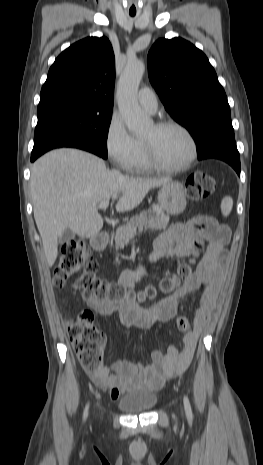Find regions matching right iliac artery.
I'll return each mask as SVG.
<instances>
[{
    "label": "right iliac artery",
    "mask_w": 263,
    "mask_h": 465,
    "mask_svg": "<svg viewBox=\"0 0 263 465\" xmlns=\"http://www.w3.org/2000/svg\"><path fill=\"white\" fill-rule=\"evenodd\" d=\"M88 408H89V405L87 404L86 405V408L84 410V420L87 418V415H88Z\"/></svg>",
    "instance_id": "82829eb1"
}]
</instances>
